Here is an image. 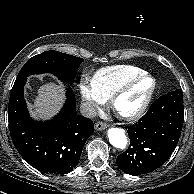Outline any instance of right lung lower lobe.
Returning <instances> with one entry per match:
<instances>
[{"label":"right lung lower lobe","instance_id":"obj_1","mask_svg":"<svg viewBox=\"0 0 194 194\" xmlns=\"http://www.w3.org/2000/svg\"><path fill=\"white\" fill-rule=\"evenodd\" d=\"M26 80L16 79L9 98L8 121L13 144L23 159L38 170L66 174L77 165L86 140L94 132V124L76 113L71 88L67 89V102L54 119L32 120L23 95Z\"/></svg>","mask_w":194,"mask_h":194}]
</instances>
